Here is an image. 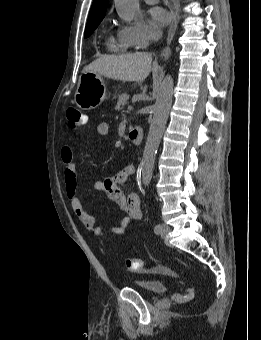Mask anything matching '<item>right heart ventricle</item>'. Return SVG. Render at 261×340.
I'll return each mask as SVG.
<instances>
[{
	"label": "right heart ventricle",
	"instance_id": "obj_1",
	"mask_svg": "<svg viewBox=\"0 0 261 340\" xmlns=\"http://www.w3.org/2000/svg\"><path fill=\"white\" fill-rule=\"evenodd\" d=\"M106 46L111 52H127L135 47L132 42L126 38L120 31L115 35H109L106 41Z\"/></svg>",
	"mask_w": 261,
	"mask_h": 340
}]
</instances>
